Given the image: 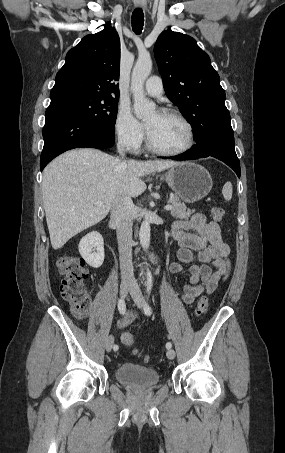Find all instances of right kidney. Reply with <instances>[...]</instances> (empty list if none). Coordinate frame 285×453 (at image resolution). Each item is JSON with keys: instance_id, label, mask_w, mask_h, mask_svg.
I'll use <instances>...</instances> for the list:
<instances>
[{"instance_id": "right-kidney-1", "label": "right kidney", "mask_w": 285, "mask_h": 453, "mask_svg": "<svg viewBox=\"0 0 285 453\" xmlns=\"http://www.w3.org/2000/svg\"><path fill=\"white\" fill-rule=\"evenodd\" d=\"M79 252L88 265L93 268H99L104 261V240L102 235L98 232H90L85 235L79 242Z\"/></svg>"}]
</instances>
